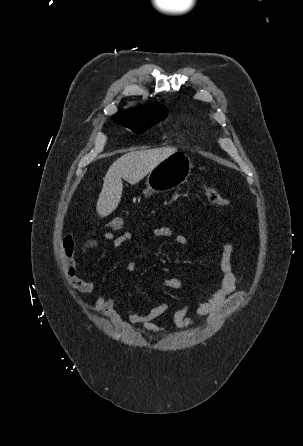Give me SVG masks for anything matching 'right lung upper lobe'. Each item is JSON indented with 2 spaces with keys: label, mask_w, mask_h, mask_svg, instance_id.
<instances>
[{
  "label": "right lung upper lobe",
  "mask_w": 303,
  "mask_h": 446,
  "mask_svg": "<svg viewBox=\"0 0 303 446\" xmlns=\"http://www.w3.org/2000/svg\"><path fill=\"white\" fill-rule=\"evenodd\" d=\"M159 108H166L164 106H161L159 104H151L145 107H141V108H133V109H129L126 110L124 112L119 113L120 115H129V116H136V115H145L148 113H151Z\"/></svg>",
  "instance_id": "obj_1"
}]
</instances>
